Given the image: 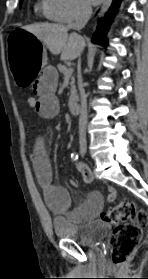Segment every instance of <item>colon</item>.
Instances as JSON below:
<instances>
[{"label":"colon","instance_id":"obj_1","mask_svg":"<svg viewBox=\"0 0 148 279\" xmlns=\"http://www.w3.org/2000/svg\"><path fill=\"white\" fill-rule=\"evenodd\" d=\"M36 96L27 99V105L36 109ZM105 222L115 225L110 237L111 260L115 265H121L135 252L141 238L142 227L148 222V215L138 211L132 200L120 201L101 216Z\"/></svg>","mask_w":148,"mask_h":279}]
</instances>
